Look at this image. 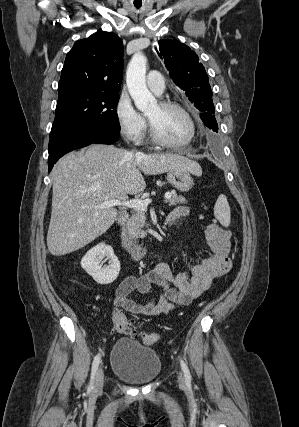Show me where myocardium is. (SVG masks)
Instances as JSON below:
<instances>
[{"instance_id": "1", "label": "myocardium", "mask_w": 299, "mask_h": 427, "mask_svg": "<svg viewBox=\"0 0 299 427\" xmlns=\"http://www.w3.org/2000/svg\"><path fill=\"white\" fill-rule=\"evenodd\" d=\"M158 105L162 108H172L178 110L180 113L183 114V116L187 119L189 126H190V132L189 136L186 140L181 142H174V141H168L164 138H162L156 131L155 127L153 126L152 122L148 119L149 124V131L152 141L162 147L166 148H181L184 146L189 145L195 138L196 135V124L195 121L191 115V113L180 103L172 101V100H162L158 103Z\"/></svg>"}]
</instances>
